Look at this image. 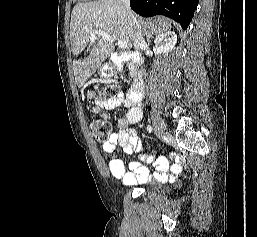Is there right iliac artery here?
Masks as SVG:
<instances>
[{"instance_id":"right-iliac-artery-1","label":"right iliac artery","mask_w":257,"mask_h":237,"mask_svg":"<svg viewBox=\"0 0 257 237\" xmlns=\"http://www.w3.org/2000/svg\"><path fill=\"white\" fill-rule=\"evenodd\" d=\"M147 130H148L149 133H151L152 132V127L150 125H148Z\"/></svg>"}]
</instances>
